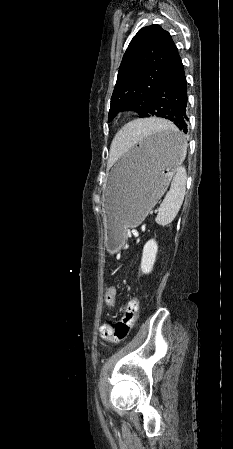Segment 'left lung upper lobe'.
I'll return each instance as SVG.
<instances>
[{
    "instance_id": "left-lung-upper-lobe-1",
    "label": "left lung upper lobe",
    "mask_w": 233,
    "mask_h": 449,
    "mask_svg": "<svg viewBox=\"0 0 233 449\" xmlns=\"http://www.w3.org/2000/svg\"><path fill=\"white\" fill-rule=\"evenodd\" d=\"M180 61L177 47L167 31L159 25L141 28L120 64L108 121L123 110H135L144 117L153 94Z\"/></svg>"
}]
</instances>
